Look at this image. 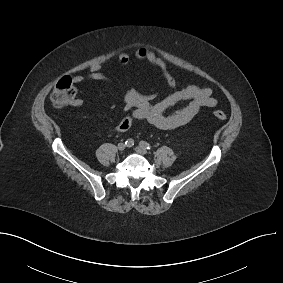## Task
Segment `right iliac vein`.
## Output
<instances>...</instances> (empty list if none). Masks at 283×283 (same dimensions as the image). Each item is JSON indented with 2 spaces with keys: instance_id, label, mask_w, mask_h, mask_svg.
Returning <instances> with one entry per match:
<instances>
[{
  "instance_id": "63e3f726",
  "label": "right iliac vein",
  "mask_w": 283,
  "mask_h": 283,
  "mask_svg": "<svg viewBox=\"0 0 283 283\" xmlns=\"http://www.w3.org/2000/svg\"><path fill=\"white\" fill-rule=\"evenodd\" d=\"M117 148H118L119 151H123L126 148V145L124 143H119L117 145Z\"/></svg>"
}]
</instances>
